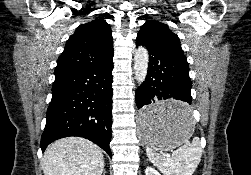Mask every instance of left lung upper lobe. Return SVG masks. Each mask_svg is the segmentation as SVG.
<instances>
[{"label":"left lung upper lobe","mask_w":251,"mask_h":175,"mask_svg":"<svg viewBox=\"0 0 251 175\" xmlns=\"http://www.w3.org/2000/svg\"><path fill=\"white\" fill-rule=\"evenodd\" d=\"M146 19H150V17ZM138 36L146 37L158 45L173 49L185 56L178 36L169 29L167 24L157 20H147L145 24L141 26Z\"/></svg>","instance_id":"left-lung-upper-lobe-1"}]
</instances>
